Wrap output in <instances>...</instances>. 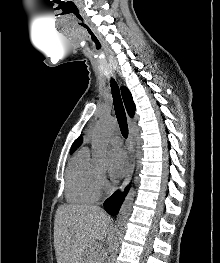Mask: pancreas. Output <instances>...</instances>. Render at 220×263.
Returning <instances> with one entry per match:
<instances>
[{"mask_svg": "<svg viewBox=\"0 0 220 263\" xmlns=\"http://www.w3.org/2000/svg\"><path fill=\"white\" fill-rule=\"evenodd\" d=\"M100 255L99 249H95L91 251V256L95 259Z\"/></svg>", "mask_w": 220, "mask_h": 263, "instance_id": "pancreas-1", "label": "pancreas"}]
</instances>
